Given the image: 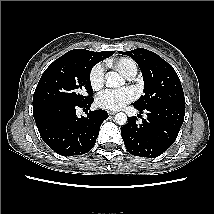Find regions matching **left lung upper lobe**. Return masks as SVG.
<instances>
[{
	"mask_svg": "<svg viewBox=\"0 0 214 214\" xmlns=\"http://www.w3.org/2000/svg\"><path fill=\"white\" fill-rule=\"evenodd\" d=\"M119 53L128 55L139 65L144 79V95L133 106L146 109L153 105L174 103L185 105L179 77L173 67L156 53L143 48Z\"/></svg>",
	"mask_w": 214,
	"mask_h": 214,
	"instance_id": "obj_1",
	"label": "left lung upper lobe"
}]
</instances>
